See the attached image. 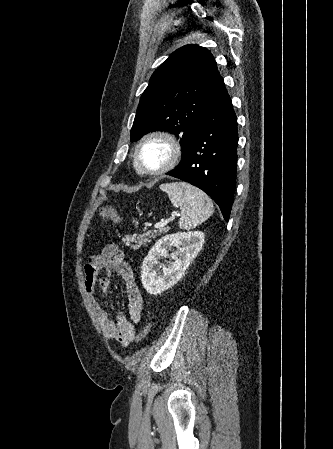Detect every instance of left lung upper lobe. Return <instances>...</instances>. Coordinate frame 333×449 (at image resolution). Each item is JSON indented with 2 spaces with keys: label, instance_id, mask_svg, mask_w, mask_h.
I'll return each instance as SVG.
<instances>
[{
  "label": "left lung upper lobe",
  "instance_id": "obj_1",
  "mask_svg": "<svg viewBox=\"0 0 333 449\" xmlns=\"http://www.w3.org/2000/svg\"><path fill=\"white\" fill-rule=\"evenodd\" d=\"M224 88L208 49L193 44L177 49L152 74L140 98L131 140L155 130L171 132L180 140L181 165L194 133Z\"/></svg>",
  "mask_w": 333,
  "mask_h": 449
}]
</instances>
